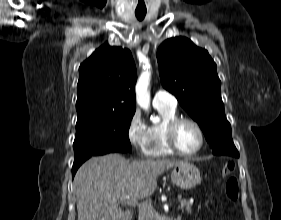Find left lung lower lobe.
<instances>
[{"mask_svg":"<svg viewBox=\"0 0 281 220\" xmlns=\"http://www.w3.org/2000/svg\"><path fill=\"white\" fill-rule=\"evenodd\" d=\"M235 157H239V153H237V154L235 155Z\"/></svg>","mask_w":281,"mask_h":220,"instance_id":"left-lung-lower-lobe-1","label":"left lung lower lobe"}]
</instances>
